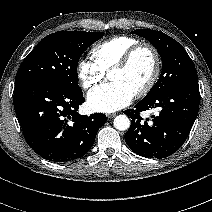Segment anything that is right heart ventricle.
<instances>
[{"label":"right heart ventricle","instance_id":"e07e8e85","mask_svg":"<svg viewBox=\"0 0 212 212\" xmlns=\"http://www.w3.org/2000/svg\"><path fill=\"white\" fill-rule=\"evenodd\" d=\"M137 44L139 41L133 37L114 36L96 44L91 49V56L101 70L108 72L130 48Z\"/></svg>","mask_w":212,"mask_h":212}]
</instances>
